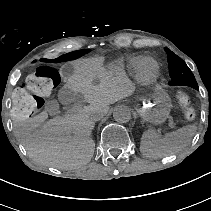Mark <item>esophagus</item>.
I'll return each mask as SVG.
<instances>
[{"label":"esophagus","mask_w":211,"mask_h":211,"mask_svg":"<svg viewBox=\"0 0 211 211\" xmlns=\"http://www.w3.org/2000/svg\"><path fill=\"white\" fill-rule=\"evenodd\" d=\"M128 108L129 109H141L142 108V103L141 102H129L128 103Z\"/></svg>","instance_id":"obj_1"}]
</instances>
